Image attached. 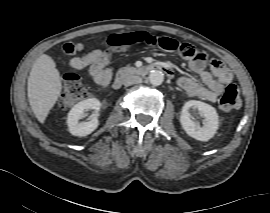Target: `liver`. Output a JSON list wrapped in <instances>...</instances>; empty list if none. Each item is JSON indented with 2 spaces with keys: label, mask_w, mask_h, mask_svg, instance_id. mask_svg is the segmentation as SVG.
<instances>
[{
  "label": "liver",
  "mask_w": 270,
  "mask_h": 213,
  "mask_svg": "<svg viewBox=\"0 0 270 213\" xmlns=\"http://www.w3.org/2000/svg\"><path fill=\"white\" fill-rule=\"evenodd\" d=\"M27 94L31 109L40 123H44L61 93L60 73L54 60L46 54L40 55L30 71Z\"/></svg>",
  "instance_id": "obj_1"
}]
</instances>
